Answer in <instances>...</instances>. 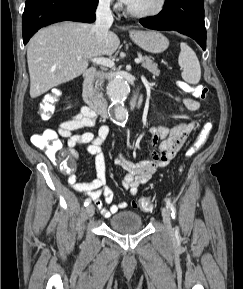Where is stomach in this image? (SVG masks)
Segmentation results:
<instances>
[{"instance_id": "stomach-1", "label": "stomach", "mask_w": 243, "mask_h": 289, "mask_svg": "<svg viewBox=\"0 0 243 289\" xmlns=\"http://www.w3.org/2000/svg\"><path fill=\"white\" fill-rule=\"evenodd\" d=\"M130 38L139 47L150 53H161L169 46L168 39L160 32L153 30L131 31Z\"/></svg>"}]
</instances>
